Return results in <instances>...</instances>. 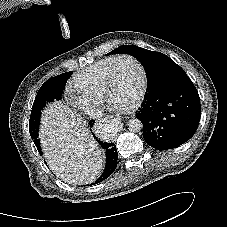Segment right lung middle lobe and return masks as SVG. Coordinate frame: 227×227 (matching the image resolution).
I'll use <instances>...</instances> for the list:
<instances>
[{
	"label": "right lung middle lobe",
	"mask_w": 227,
	"mask_h": 227,
	"mask_svg": "<svg viewBox=\"0 0 227 227\" xmlns=\"http://www.w3.org/2000/svg\"><path fill=\"white\" fill-rule=\"evenodd\" d=\"M71 75L70 72L63 73L47 80L39 89L36 98L34 100L32 111L29 121V132L33 142L35 143L38 151L41 153L40 141L38 139V130L40 124L41 110L47 102H51L54 99H61L63 87Z\"/></svg>",
	"instance_id": "1"
}]
</instances>
